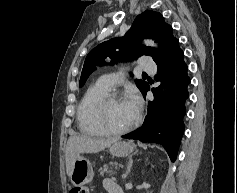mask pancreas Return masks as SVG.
<instances>
[{"label": "pancreas", "mask_w": 237, "mask_h": 193, "mask_svg": "<svg viewBox=\"0 0 237 193\" xmlns=\"http://www.w3.org/2000/svg\"><path fill=\"white\" fill-rule=\"evenodd\" d=\"M117 163H110L109 165L105 164L103 167L99 169L100 175L104 176L105 173L112 175L114 174L113 168L117 169Z\"/></svg>", "instance_id": "obj_1"}]
</instances>
